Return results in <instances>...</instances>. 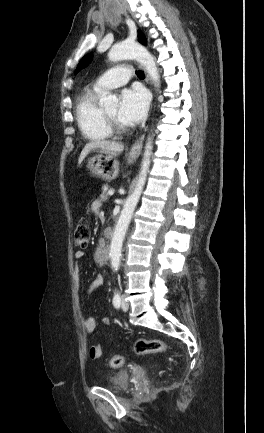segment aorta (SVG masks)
Listing matches in <instances>:
<instances>
[{"label":"aorta","mask_w":264,"mask_h":433,"mask_svg":"<svg viewBox=\"0 0 264 433\" xmlns=\"http://www.w3.org/2000/svg\"><path fill=\"white\" fill-rule=\"evenodd\" d=\"M110 61L116 62L124 59H136L147 71L155 87H159L160 75L156 62L153 56L138 43L122 42L114 45L108 53ZM117 98L114 95H107L104 98L105 105L115 104ZM152 137H148L145 146V152L141 164V170L133 193L126 199L123 210L120 214L119 220L115 226L114 234L110 244V259L111 266L114 271H118L120 267V258L122 252V245L125 238V234L131 222L134 210L138 204L140 196L142 194L147 173L149 171L151 163V155L153 149Z\"/></svg>","instance_id":"762f6f07"}]
</instances>
